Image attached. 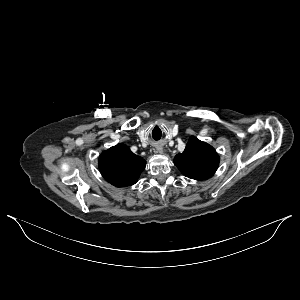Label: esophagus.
<instances>
[{"instance_id":"34e87169","label":"esophagus","mask_w":300,"mask_h":300,"mask_svg":"<svg viewBox=\"0 0 300 300\" xmlns=\"http://www.w3.org/2000/svg\"><path fill=\"white\" fill-rule=\"evenodd\" d=\"M158 153H163V147L162 146H157L156 148Z\"/></svg>"}]
</instances>
